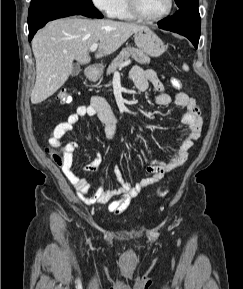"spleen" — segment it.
Instances as JSON below:
<instances>
[{
    "mask_svg": "<svg viewBox=\"0 0 243 289\" xmlns=\"http://www.w3.org/2000/svg\"><path fill=\"white\" fill-rule=\"evenodd\" d=\"M183 70H185V71H188V70H189V67H188L187 64H183Z\"/></svg>",
    "mask_w": 243,
    "mask_h": 289,
    "instance_id": "spleen-1",
    "label": "spleen"
}]
</instances>
